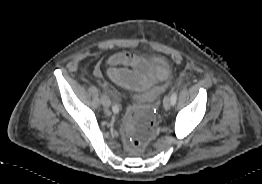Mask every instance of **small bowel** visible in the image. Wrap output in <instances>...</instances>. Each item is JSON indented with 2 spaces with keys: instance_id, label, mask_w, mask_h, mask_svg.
<instances>
[{
  "instance_id": "c3829d8e",
  "label": "small bowel",
  "mask_w": 262,
  "mask_h": 184,
  "mask_svg": "<svg viewBox=\"0 0 262 184\" xmlns=\"http://www.w3.org/2000/svg\"><path fill=\"white\" fill-rule=\"evenodd\" d=\"M109 79L117 85L132 89L144 90L168 77L167 69L158 63H150L143 58L128 52H118L108 59ZM93 75L101 78L103 73L98 65L93 67Z\"/></svg>"
}]
</instances>
